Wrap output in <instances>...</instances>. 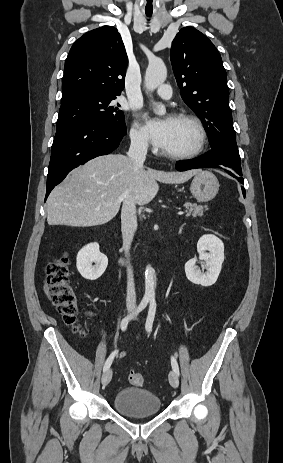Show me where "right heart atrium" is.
<instances>
[{"instance_id": "1", "label": "right heart atrium", "mask_w": 283, "mask_h": 463, "mask_svg": "<svg viewBox=\"0 0 283 463\" xmlns=\"http://www.w3.org/2000/svg\"><path fill=\"white\" fill-rule=\"evenodd\" d=\"M130 139L132 145L140 150H144L148 147V140L144 131L134 123L130 130Z\"/></svg>"}]
</instances>
